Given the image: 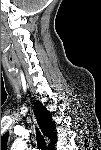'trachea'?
I'll return each instance as SVG.
<instances>
[{"label":"trachea","mask_w":101,"mask_h":150,"mask_svg":"<svg viewBox=\"0 0 101 150\" xmlns=\"http://www.w3.org/2000/svg\"><path fill=\"white\" fill-rule=\"evenodd\" d=\"M37 144H38V147H39L41 150H47V149H46V142H45V139H44L43 136L40 134V132H37Z\"/></svg>","instance_id":"3493384b"}]
</instances>
